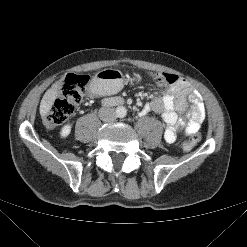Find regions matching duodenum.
Returning <instances> with one entry per match:
<instances>
[{
  "label": "duodenum",
  "instance_id": "duodenum-1",
  "mask_svg": "<svg viewBox=\"0 0 247 247\" xmlns=\"http://www.w3.org/2000/svg\"><path fill=\"white\" fill-rule=\"evenodd\" d=\"M123 103V99L120 97H110L103 100V104L106 106H118Z\"/></svg>",
  "mask_w": 247,
  "mask_h": 247
}]
</instances>
